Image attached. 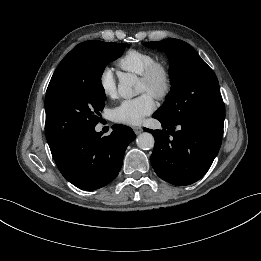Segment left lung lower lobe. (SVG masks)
I'll list each match as a JSON object with an SVG mask.
<instances>
[{"label":"left lung lower lobe","mask_w":261,"mask_h":261,"mask_svg":"<svg viewBox=\"0 0 261 261\" xmlns=\"http://www.w3.org/2000/svg\"><path fill=\"white\" fill-rule=\"evenodd\" d=\"M163 130L149 131L155 138L151 163L156 174L173 185H189L210 168L222 141L225 115L200 116L170 122L154 115ZM179 125L180 130L175 131Z\"/></svg>","instance_id":"left-lung-lower-lobe-1"}]
</instances>
